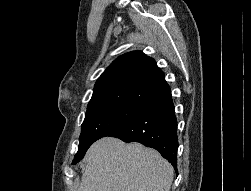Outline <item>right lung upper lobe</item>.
<instances>
[{
	"instance_id": "cb5924a9",
	"label": "right lung upper lobe",
	"mask_w": 251,
	"mask_h": 191,
	"mask_svg": "<svg viewBox=\"0 0 251 191\" xmlns=\"http://www.w3.org/2000/svg\"><path fill=\"white\" fill-rule=\"evenodd\" d=\"M169 90L154 59L133 51L118 57L98 78L87 109L112 103L144 108Z\"/></svg>"
}]
</instances>
